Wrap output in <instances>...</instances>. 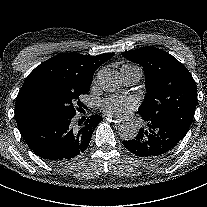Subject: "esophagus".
<instances>
[{
    "instance_id": "esophagus-1",
    "label": "esophagus",
    "mask_w": 207,
    "mask_h": 207,
    "mask_svg": "<svg viewBox=\"0 0 207 207\" xmlns=\"http://www.w3.org/2000/svg\"><path fill=\"white\" fill-rule=\"evenodd\" d=\"M105 118L108 120V125L110 127H116L118 125V120L111 116H105Z\"/></svg>"
}]
</instances>
